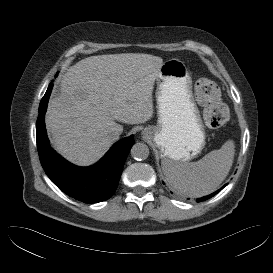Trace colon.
Returning a JSON list of instances; mask_svg holds the SVG:
<instances>
[{
    "label": "colon",
    "instance_id": "obj_1",
    "mask_svg": "<svg viewBox=\"0 0 273 273\" xmlns=\"http://www.w3.org/2000/svg\"><path fill=\"white\" fill-rule=\"evenodd\" d=\"M195 95L204 107L203 119L206 126L216 130L224 126L229 118L228 109L220 102V90L211 80L200 78L195 82Z\"/></svg>",
    "mask_w": 273,
    "mask_h": 273
}]
</instances>
